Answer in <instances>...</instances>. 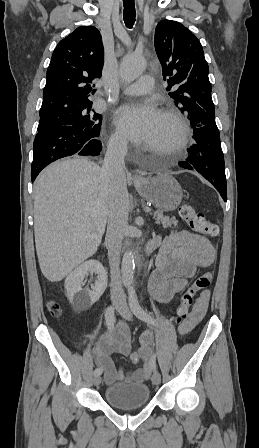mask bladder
Masks as SVG:
<instances>
[{
  "label": "bladder",
  "mask_w": 259,
  "mask_h": 448,
  "mask_svg": "<svg viewBox=\"0 0 259 448\" xmlns=\"http://www.w3.org/2000/svg\"><path fill=\"white\" fill-rule=\"evenodd\" d=\"M104 397L115 408L137 409L148 403L150 389L144 383H115L105 389Z\"/></svg>",
  "instance_id": "1"
}]
</instances>
